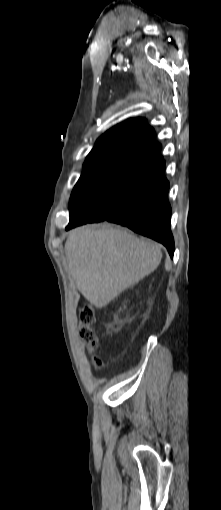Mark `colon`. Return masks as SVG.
I'll return each mask as SVG.
<instances>
[{
  "mask_svg": "<svg viewBox=\"0 0 221 510\" xmlns=\"http://www.w3.org/2000/svg\"><path fill=\"white\" fill-rule=\"evenodd\" d=\"M79 320L82 325L80 330L81 338L86 342L87 349L91 354V362L95 369L102 367V361L92 353L98 345V338L92 325L95 322V310L91 306H83L79 309Z\"/></svg>",
  "mask_w": 221,
  "mask_h": 510,
  "instance_id": "colon-1",
  "label": "colon"
}]
</instances>
